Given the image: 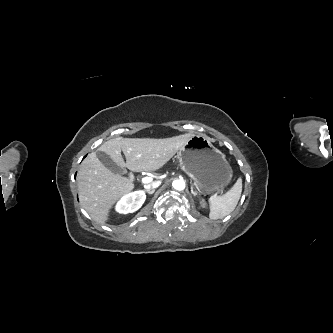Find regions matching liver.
<instances>
[{
    "mask_svg": "<svg viewBox=\"0 0 333 333\" xmlns=\"http://www.w3.org/2000/svg\"><path fill=\"white\" fill-rule=\"evenodd\" d=\"M192 136L186 133L164 139L118 137L108 140L97 151L105 152L116 165L133 172L155 171L183 148ZM121 151L125 154L126 162ZM77 180L83 208L100 224L108 220L113 205L135 187L131 179L113 173L102 164L96 152L83 160Z\"/></svg>",
    "mask_w": 333,
    "mask_h": 333,
    "instance_id": "6515ba94",
    "label": "liver"
}]
</instances>
